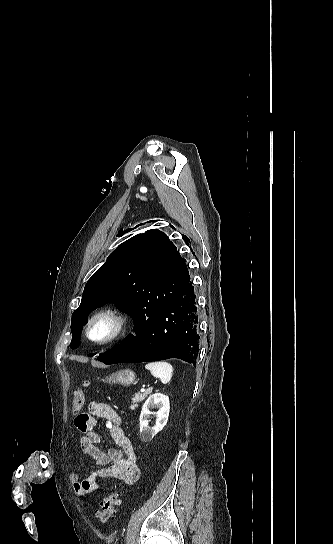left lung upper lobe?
Instances as JSON below:
<instances>
[{
  "label": "left lung upper lobe",
  "instance_id": "left-lung-upper-lobe-1",
  "mask_svg": "<svg viewBox=\"0 0 333 544\" xmlns=\"http://www.w3.org/2000/svg\"><path fill=\"white\" fill-rule=\"evenodd\" d=\"M186 260L159 230L137 234L114 250L88 280L80 306L72 315V349L78 345L87 314L115 301L134 319V325L155 315L186 287Z\"/></svg>",
  "mask_w": 333,
  "mask_h": 544
}]
</instances>
